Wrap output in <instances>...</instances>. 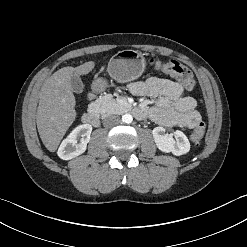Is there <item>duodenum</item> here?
Returning <instances> with one entry per match:
<instances>
[{"label": "duodenum", "instance_id": "duodenum-1", "mask_svg": "<svg viewBox=\"0 0 247 247\" xmlns=\"http://www.w3.org/2000/svg\"><path fill=\"white\" fill-rule=\"evenodd\" d=\"M92 96V95H91ZM133 112L136 117L143 118L145 116V110L140 107H135L133 109ZM82 121L85 124L91 125V126H98L99 125V116L96 110L90 109L84 115L82 116Z\"/></svg>", "mask_w": 247, "mask_h": 247}]
</instances>
